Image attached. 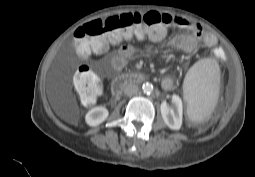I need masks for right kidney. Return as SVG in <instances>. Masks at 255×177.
I'll return each instance as SVG.
<instances>
[{"label":"right kidney","mask_w":255,"mask_h":177,"mask_svg":"<svg viewBox=\"0 0 255 177\" xmlns=\"http://www.w3.org/2000/svg\"><path fill=\"white\" fill-rule=\"evenodd\" d=\"M109 115L108 110L103 106L92 108L85 116V121L89 126L95 127L104 122Z\"/></svg>","instance_id":"obj_1"}]
</instances>
